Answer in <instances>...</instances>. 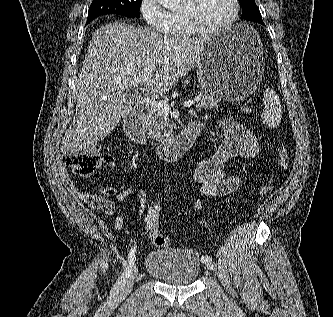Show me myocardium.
I'll return each instance as SVG.
<instances>
[{"instance_id":"1","label":"myocardium","mask_w":333,"mask_h":317,"mask_svg":"<svg viewBox=\"0 0 333 317\" xmlns=\"http://www.w3.org/2000/svg\"><path fill=\"white\" fill-rule=\"evenodd\" d=\"M233 4V11L231 15L222 23L214 26H205L201 24L195 15V4L198 0H188L189 7L185 10H180V15L185 21L186 25L197 34H212L223 31L229 28L237 19L240 12V2L239 0H231Z\"/></svg>"}]
</instances>
